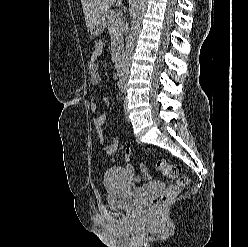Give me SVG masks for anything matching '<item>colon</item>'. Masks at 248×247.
Returning a JSON list of instances; mask_svg holds the SVG:
<instances>
[{"instance_id":"1","label":"colon","mask_w":248,"mask_h":247,"mask_svg":"<svg viewBox=\"0 0 248 247\" xmlns=\"http://www.w3.org/2000/svg\"><path fill=\"white\" fill-rule=\"evenodd\" d=\"M97 43L95 44V46ZM142 176L146 179L150 177V173L146 166L140 167ZM156 169L158 172L164 174L167 178L174 180V183L170 184L162 193L152 198L150 201V207L153 210H160L169 202L174 200L181 189L185 188L189 184V178L182 173V169L179 165L168 164L165 160H158L156 162Z\"/></svg>"}]
</instances>
